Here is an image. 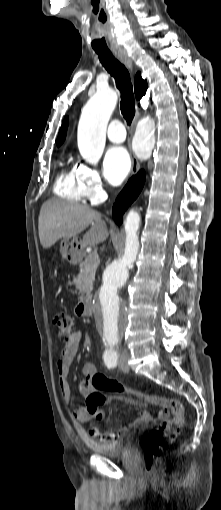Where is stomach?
I'll return each instance as SVG.
<instances>
[{
    "mask_svg": "<svg viewBox=\"0 0 221 510\" xmlns=\"http://www.w3.org/2000/svg\"><path fill=\"white\" fill-rule=\"evenodd\" d=\"M81 241L77 237L64 238L60 245V252L64 259L77 262L82 258Z\"/></svg>",
    "mask_w": 221,
    "mask_h": 510,
    "instance_id": "1",
    "label": "stomach"
}]
</instances>
